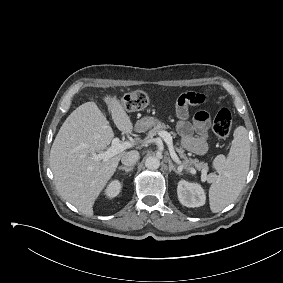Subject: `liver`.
I'll list each match as a JSON object with an SVG mask.
<instances>
[{
    "mask_svg": "<svg viewBox=\"0 0 283 283\" xmlns=\"http://www.w3.org/2000/svg\"><path fill=\"white\" fill-rule=\"evenodd\" d=\"M104 101L114 124L121 132L130 134L133 123L116 97ZM114 132L95 102L76 108L61 126L50 151V167L61 196L87 216L93 215V205L107 182L115 173L121 152L108 161L91 159L106 149Z\"/></svg>",
    "mask_w": 283,
    "mask_h": 283,
    "instance_id": "6515ba94",
    "label": "liver"
}]
</instances>
